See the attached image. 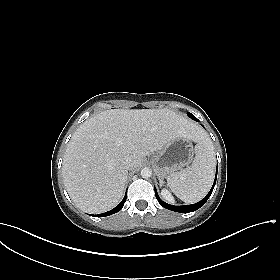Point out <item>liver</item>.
I'll list each match as a JSON object with an SVG mask.
<instances>
[{
  "label": "liver",
  "instance_id": "obj_1",
  "mask_svg": "<svg viewBox=\"0 0 280 280\" xmlns=\"http://www.w3.org/2000/svg\"><path fill=\"white\" fill-rule=\"evenodd\" d=\"M186 137L204 140L193 121L169 109H111L82 123L69 141L62 164L64 185L78 208L103 213L121 200L128 170L126 156L141 166L150 153Z\"/></svg>",
  "mask_w": 280,
  "mask_h": 280
}]
</instances>
